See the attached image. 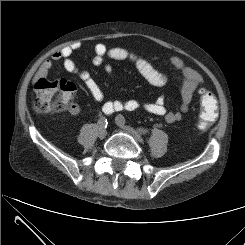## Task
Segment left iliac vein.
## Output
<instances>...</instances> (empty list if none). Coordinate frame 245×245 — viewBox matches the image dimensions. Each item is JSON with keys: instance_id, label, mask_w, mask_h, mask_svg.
<instances>
[{"instance_id": "left-iliac-vein-1", "label": "left iliac vein", "mask_w": 245, "mask_h": 245, "mask_svg": "<svg viewBox=\"0 0 245 245\" xmlns=\"http://www.w3.org/2000/svg\"><path fill=\"white\" fill-rule=\"evenodd\" d=\"M115 122L116 124L122 128L124 131H126L127 133H129L130 135H132L136 140L138 141H142V136L140 134V132H138L137 130H135L134 128L130 127V126H127L125 125L121 119H120V115H118L116 118H115Z\"/></svg>"}]
</instances>
